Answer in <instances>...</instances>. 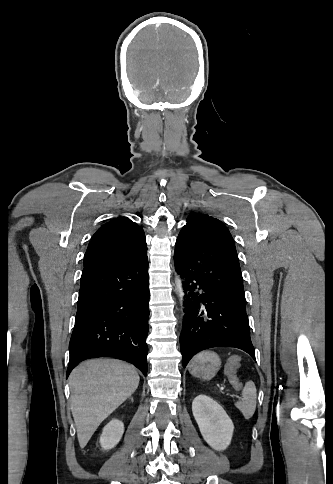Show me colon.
I'll return each instance as SVG.
<instances>
[{
    "label": "colon",
    "mask_w": 333,
    "mask_h": 484,
    "mask_svg": "<svg viewBox=\"0 0 333 484\" xmlns=\"http://www.w3.org/2000/svg\"><path fill=\"white\" fill-rule=\"evenodd\" d=\"M238 366H239V361L237 358H234L229 361L226 368V374L229 379V382L235 390H240L242 388V383L236 374Z\"/></svg>",
    "instance_id": "colon-1"
}]
</instances>
